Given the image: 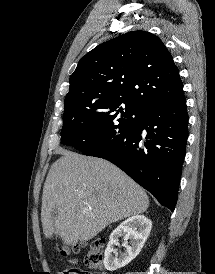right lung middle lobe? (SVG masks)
<instances>
[{"instance_id":"right-lung-middle-lobe-1","label":"right lung middle lobe","mask_w":215,"mask_h":274,"mask_svg":"<svg viewBox=\"0 0 215 274\" xmlns=\"http://www.w3.org/2000/svg\"><path fill=\"white\" fill-rule=\"evenodd\" d=\"M141 110L122 101L65 102L61 142L84 153L127 131Z\"/></svg>"}]
</instances>
